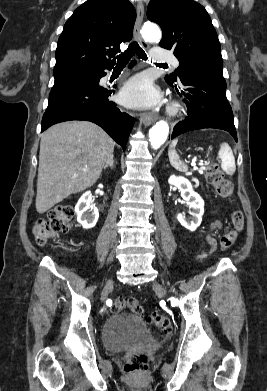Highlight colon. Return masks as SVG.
I'll use <instances>...</instances> for the list:
<instances>
[{
	"label": "colon",
	"mask_w": 267,
	"mask_h": 391,
	"mask_svg": "<svg viewBox=\"0 0 267 391\" xmlns=\"http://www.w3.org/2000/svg\"><path fill=\"white\" fill-rule=\"evenodd\" d=\"M207 182L214 188L217 195L229 198L233 195V185L225 179L218 164L210 161L206 170ZM74 209L67 204H60L52 208L45 217L39 218L33 226V234L38 244L44 245L56 240L60 233L68 232L73 227ZM233 230L224 234L220 239L222 249H229L235 243L239 233L244 228V215L241 211H235L232 215ZM129 308L137 315L143 314V308L135 297L116 299L112 305L114 312ZM148 325L163 332L171 330L170 319L161 314H150L145 317ZM148 369V356L142 352L129 355L124 365V370L130 375H141Z\"/></svg>",
	"instance_id": "5ec220e1"
}]
</instances>
